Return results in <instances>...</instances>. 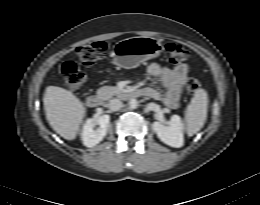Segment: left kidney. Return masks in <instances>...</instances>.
<instances>
[{"label": "left kidney", "instance_id": "left-kidney-1", "mask_svg": "<svg viewBox=\"0 0 260 205\" xmlns=\"http://www.w3.org/2000/svg\"><path fill=\"white\" fill-rule=\"evenodd\" d=\"M152 128L158 138L165 144L175 148H180L184 145V125L180 116L173 115L167 124L155 121L152 124Z\"/></svg>", "mask_w": 260, "mask_h": 205}]
</instances>
